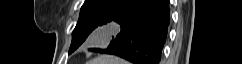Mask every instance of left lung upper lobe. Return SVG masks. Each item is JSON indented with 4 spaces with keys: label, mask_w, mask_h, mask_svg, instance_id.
<instances>
[{
    "label": "left lung upper lobe",
    "mask_w": 242,
    "mask_h": 64,
    "mask_svg": "<svg viewBox=\"0 0 242 64\" xmlns=\"http://www.w3.org/2000/svg\"><path fill=\"white\" fill-rule=\"evenodd\" d=\"M124 0H85L81 7L79 20L72 33L69 53L75 51L98 27L103 18Z\"/></svg>",
    "instance_id": "1"
}]
</instances>
